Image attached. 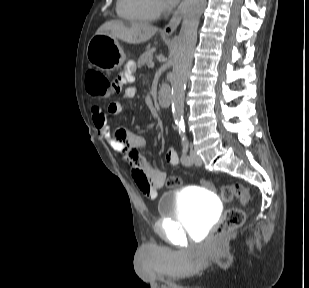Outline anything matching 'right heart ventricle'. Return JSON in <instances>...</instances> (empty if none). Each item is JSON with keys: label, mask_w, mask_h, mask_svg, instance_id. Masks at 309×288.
<instances>
[{"label": "right heart ventricle", "mask_w": 309, "mask_h": 288, "mask_svg": "<svg viewBox=\"0 0 309 288\" xmlns=\"http://www.w3.org/2000/svg\"><path fill=\"white\" fill-rule=\"evenodd\" d=\"M116 6L119 16L131 22H151L159 15L155 0H117Z\"/></svg>", "instance_id": "obj_1"}]
</instances>
